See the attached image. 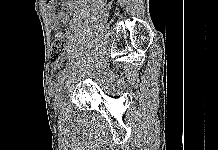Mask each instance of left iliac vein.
I'll list each match as a JSON object with an SVG mask.
<instances>
[{"instance_id": "4c4485c4", "label": "left iliac vein", "mask_w": 218, "mask_h": 150, "mask_svg": "<svg viewBox=\"0 0 218 150\" xmlns=\"http://www.w3.org/2000/svg\"><path fill=\"white\" fill-rule=\"evenodd\" d=\"M69 80H70V77L65 76L63 85L68 84ZM63 85H62V88H63ZM61 91H62V89H61ZM63 102H64V95L58 94L55 96L54 107H55L56 111H61L63 109Z\"/></svg>"}]
</instances>
